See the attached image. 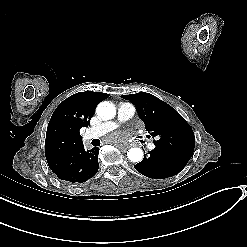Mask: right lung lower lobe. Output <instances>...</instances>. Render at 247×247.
Returning a JSON list of instances; mask_svg holds the SVG:
<instances>
[{
  "label": "right lung lower lobe",
  "instance_id": "obj_1",
  "mask_svg": "<svg viewBox=\"0 0 247 247\" xmlns=\"http://www.w3.org/2000/svg\"><path fill=\"white\" fill-rule=\"evenodd\" d=\"M98 152L99 149L96 147L86 151L81 142L56 159L47 162L59 179L72 183H83L98 171Z\"/></svg>",
  "mask_w": 247,
  "mask_h": 247
}]
</instances>
